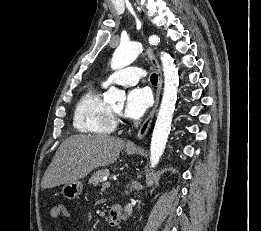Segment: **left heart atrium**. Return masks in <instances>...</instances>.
Instances as JSON below:
<instances>
[{
	"label": "left heart atrium",
	"mask_w": 261,
	"mask_h": 231,
	"mask_svg": "<svg viewBox=\"0 0 261 231\" xmlns=\"http://www.w3.org/2000/svg\"><path fill=\"white\" fill-rule=\"evenodd\" d=\"M151 95L145 88H133L126 97L124 114L131 119H139L151 104Z\"/></svg>",
	"instance_id": "left-heart-atrium-1"
}]
</instances>
